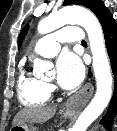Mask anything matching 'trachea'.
I'll return each mask as SVG.
<instances>
[{
    "label": "trachea",
    "instance_id": "3493384b",
    "mask_svg": "<svg viewBox=\"0 0 117 131\" xmlns=\"http://www.w3.org/2000/svg\"><path fill=\"white\" fill-rule=\"evenodd\" d=\"M81 43H82V44H86V41H82Z\"/></svg>",
    "mask_w": 117,
    "mask_h": 131
}]
</instances>
